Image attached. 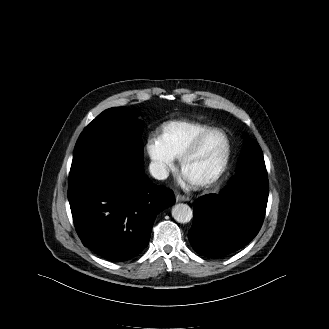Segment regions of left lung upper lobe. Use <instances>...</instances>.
<instances>
[{
  "label": "left lung upper lobe",
  "instance_id": "obj_1",
  "mask_svg": "<svg viewBox=\"0 0 329 329\" xmlns=\"http://www.w3.org/2000/svg\"><path fill=\"white\" fill-rule=\"evenodd\" d=\"M260 167H265L262 150L258 143L250 141L241 156L238 171L242 172L245 169H257Z\"/></svg>",
  "mask_w": 329,
  "mask_h": 329
}]
</instances>
